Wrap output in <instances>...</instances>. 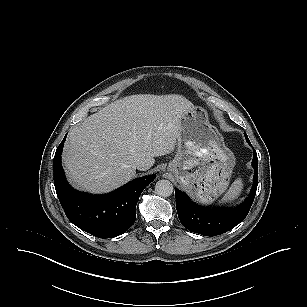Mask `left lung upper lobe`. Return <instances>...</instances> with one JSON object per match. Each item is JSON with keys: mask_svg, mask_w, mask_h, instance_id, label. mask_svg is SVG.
<instances>
[{"mask_svg": "<svg viewBox=\"0 0 307 307\" xmlns=\"http://www.w3.org/2000/svg\"><path fill=\"white\" fill-rule=\"evenodd\" d=\"M245 137H246L247 141H249V139H248V137H247V135H246V134H245Z\"/></svg>", "mask_w": 307, "mask_h": 307, "instance_id": "left-lung-upper-lobe-1", "label": "left lung upper lobe"}]
</instances>
